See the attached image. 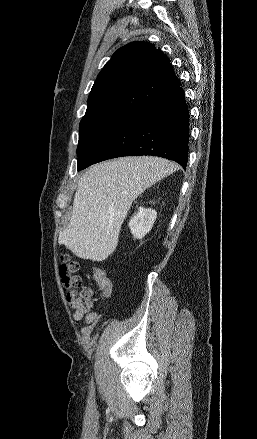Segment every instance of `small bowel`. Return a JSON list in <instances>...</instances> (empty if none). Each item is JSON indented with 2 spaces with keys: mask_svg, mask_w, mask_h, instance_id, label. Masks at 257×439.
<instances>
[{
  "mask_svg": "<svg viewBox=\"0 0 257 439\" xmlns=\"http://www.w3.org/2000/svg\"><path fill=\"white\" fill-rule=\"evenodd\" d=\"M86 302L89 307H92V291L88 290L86 292ZM74 319L77 321H83L85 326L81 329V333L84 339H88L90 337L91 331L93 327L98 323L100 320V316L96 312H89L86 315L83 314V312L76 310L74 312Z\"/></svg>",
  "mask_w": 257,
  "mask_h": 439,
  "instance_id": "small-bowel-1",
  "label": "small bowel"
}]
</instances>
